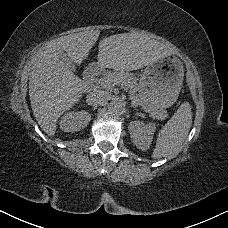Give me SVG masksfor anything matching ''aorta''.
<instances>
[{"mask_svg":"<svg viewBox=\"0 0 228 228\" xmlns=\"http://www.w3.org/2000/svg\"><path fill=\"white\" fill-rule=\"evenodd\" d=\"M108 111L112 115L119 114L122 111V105L119 102L112 101L108 106Z\"/></svg>","mask_w":228,"mask_h":228,"instance_id":"obj_1","label":"aorta"}]
</instances>
